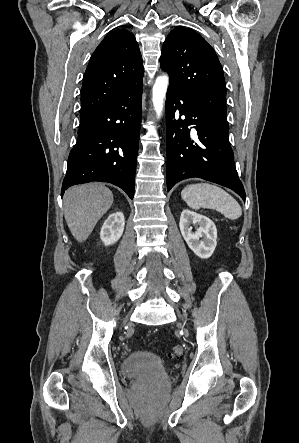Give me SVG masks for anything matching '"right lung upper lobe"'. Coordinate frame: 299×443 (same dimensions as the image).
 <instances>
[{
    "mask_svg": "<svg viewBox=\"0 0 299 443\" xmlns=\"http://www.w3.org/2000/svg\"><path fill=\"white\" fill-rule=\"evenodd\" d=\"M142 62L131 32L118 29L107 34L91 56L84 75L80 119L141 85Z\"/></svg>",
    "mask_w": 299,
    "mask_h": 443,
    "instance_id": "obj_1",
    "label": "right lung upper lobe"
}]
</instances>
